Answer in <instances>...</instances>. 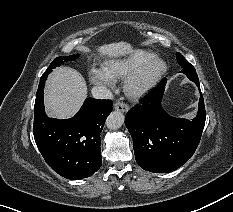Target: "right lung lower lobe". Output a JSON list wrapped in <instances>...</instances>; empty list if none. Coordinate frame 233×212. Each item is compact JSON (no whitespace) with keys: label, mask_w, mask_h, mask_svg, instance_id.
Masks as SVG:
<instances>
[{"label":"right lung lower lobe","mask_w":233,"mask_h":212,"mask_svg":"<svg viewBox=\"0 0 233 212\" xmlns=\"http://www.w3.org/2000/svg\"><path fill=\"white\" fill-rule=\"evenodd\" d=\"M44 83L40 79L34 106L33 134L40 153L56 173L67 179L93 175L101 167L100 133L112 112V101L87 98L73 118H49L43 103Z\"/></svg>","instance_id":"98d812e1"}]
</instances>
